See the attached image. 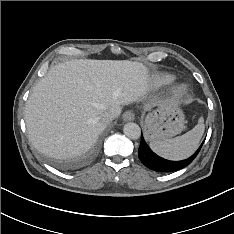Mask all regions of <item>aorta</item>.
<instances>
[{
	"label": "aorta",
	"instance_id": "762f6f07",
	"mask_svg": "<svg viewBox=\"0 0 234 234\" xmlns=\"http://www.w3.org/2000/svg\"><path fill=\"white\" fill-rule=\"evenodd\" d=\"M124 134L130 139H138L141 135L140 127L133 122L126 123L123 128Z\"/></svg>",
	"mask_w": 234,
	"mask_h": 234
}]
</instances>
